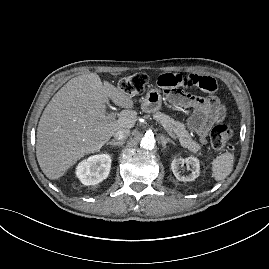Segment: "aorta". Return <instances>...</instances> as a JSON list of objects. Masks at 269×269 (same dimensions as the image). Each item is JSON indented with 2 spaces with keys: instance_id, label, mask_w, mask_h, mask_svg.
Instances as JSON below:
<instances>
[{
  "instance_id": "762f6f07",
  "label": "aorta",
  "mask_w": 269,
  "mask_h": 269,
  "mask_svg": "<svg viewBox=\"0 0 269 269\" xmlns=\"http://www.w3.org/2000/svg\"><path fill=\"white\" fill-rule=\"evenodd\" d=\"M155 142L156 140L153 135L146 134L142 137L140 146L143 149L150 150L154 148Z\"/></svg>"
}]
</instances>
